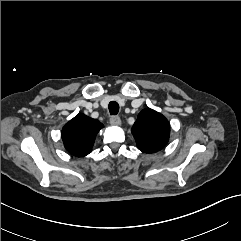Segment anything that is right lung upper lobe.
Returning a JSON list of instances; mask_svg holds the SVG:
<instances>
[{
	"label": "right lung upper lobe",
	"mask_w": 241,
	"mask_h": 241,
	"mask_svg": "<svg viewBox=\"0 0 241 241\" xmlns=\"http://www.w3.org/2000/svg\"><path fill=\"white\" fill-rule=\"evenodd\" d=\"M101 128L103 124L97 119L78 114L62 129L61 135L66 150L77 157L88 155Z\"/></svg>",
	"instance_id": "cb5924a9"
}]
</instances>
